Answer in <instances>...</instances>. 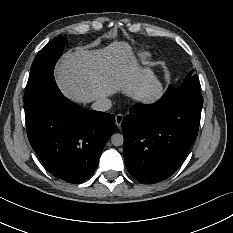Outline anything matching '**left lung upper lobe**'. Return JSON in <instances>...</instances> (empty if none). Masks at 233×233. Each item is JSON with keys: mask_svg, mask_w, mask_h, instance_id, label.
I'll return each mask as SVG.
<instances>
[{"mask_svg": "<svg viewBox=\"0 0 233 233\" xmlns=\"http://www.w3.org/2000/svg\"><path fill=\"white\" fill-rule=\"evenodd\" d=\"M193 71L194 70H191L189 72V75L184 79V82L181 85L177 87L171 85L168 90L171 92L201 95L199 82L196 75L193 74Z\"/></svg>", "mask_w": 233, "mask_h": 233, "instance_id": "obj_1", "label": "left lung upper lobe"}]
</instances>
